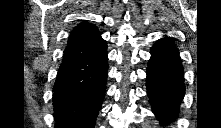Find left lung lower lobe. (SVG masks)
<instances>
[{
    "mask_svg": "<svg viewBox=\"0 0 221 128\" xmlns=\"http://www.w3.org/2000/svg\"><path fill=\"white\" fill-rule=\"evenodd\" d=\"M147 68V92L152 110L163 124L177 116L184 97L183 67L170 38L160 39L151 48Z\"/></svg>",
    "mask_w": 221,
    "mask_h": 128,
    "instance_id": "left-lung-lower-lobe-1",
    "label": "left lung lower lobe"
}]
</instances>
